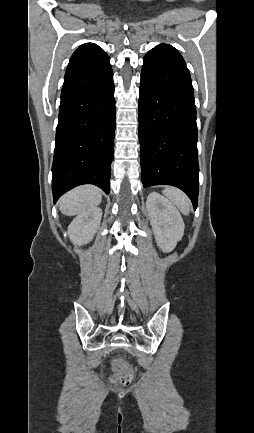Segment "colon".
Masks as SVG:
<instances>
[{"label": "colon", "instance_id": "obj_1", "mask_svg": "<svg viewBox=\"0 0 254 433\" xmlns=\"http://www.w3.org/2000/svg\"><path fill=\"white\" fill-rule=\"evenodd\" d=\"M116 368L122 373L121 383L127 384L131 379V368L122 361L116 363Z\"/></svg>", "mask_w": 254, "mask_h": 433}]
</instances>
